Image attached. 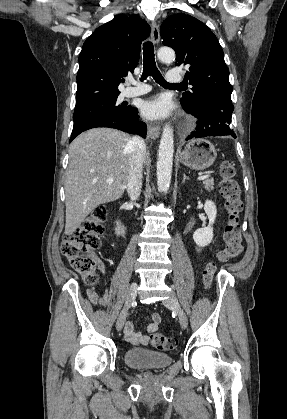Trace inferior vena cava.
Here are the masks:
<instances>
[{
    "label": "inferior vena cava",
    "instance_id": "inferior-vena-cava-1",
    "mask_svg": "<svg viewBox=\"0 0 287 419\" xmlns=\"http://www.w3.org/2000/svg\"><path fill=\"white\" fill-rule=\"evenodd\" d=\"M130 145L132 147V155L126 188L133 202L138 199L142 188V170L146 155V144L144 139L134 136L130 141Z\"/></svg>",
    "mask_w": 287,
    "mask_h": 419
}]
</instances>
